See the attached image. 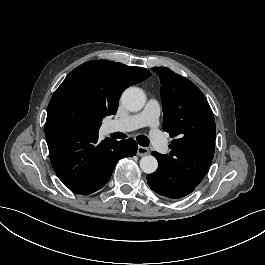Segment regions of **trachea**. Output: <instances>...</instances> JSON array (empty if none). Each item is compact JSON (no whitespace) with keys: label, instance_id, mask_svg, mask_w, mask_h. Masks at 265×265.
<instances>
[{"label":"trachea","instance_id":"trachea-1","mask_svg":"<svg viewBox=\"0 0 265 265\" xmlns=\"http://www.w3.org/2000/svg\"><path fill=\"white\" fill-rule=\"evenodd\" d=\"M136 140L143 147H147L149 145V139L144 135L137 136Z\"/></svg>","mask_w":265,"mask_h":265}]
</instances>
